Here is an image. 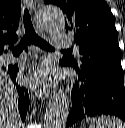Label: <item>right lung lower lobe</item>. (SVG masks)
Returning a JSON list of instances; mask_svg holds the SVG:
<instances>
[{
    "instance_id": "obj_1",
    "label": "right lung lower lobe",
    "mask_w": 125,
    "mask_h": 128,
    "mask_svg": "<svg viewBox=\"0 0 125 128\" xmlns=\"http://www.w3.org/2000/svg\"><path fill=\"white\" fill-rule=\"evenodd\" d=\"M3 70L10 76L11 80L14 82V85L17 87L18 92V109L21 116L22 121H25L27 110L29 108V94L28 90L20 87L16 84V75L18 72V66L17 65H9L6 68H3Z\"/></svg>"
}]
</instances>
